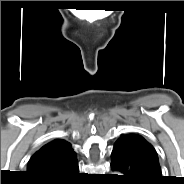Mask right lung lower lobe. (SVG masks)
<instances>
[{"mask_svg":"<svg viewBox=\"0 0 184 184\" xmlns=\"http://www.w3.org/2000/svg\"><path fill=\"white\" fill-rule=\"evenodd\" d=\"M79 174V168L76 158L68 162L59 171L48 176L35 178L37 184H71Z\"/></svg>","mask_w":184,"mask_h":184,"instance_id":"98d812e1","label":"right lung lower lobe"}]
</instances>
